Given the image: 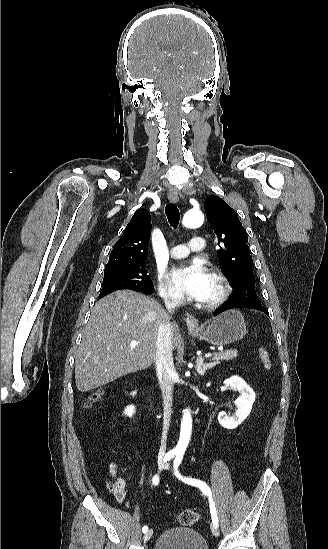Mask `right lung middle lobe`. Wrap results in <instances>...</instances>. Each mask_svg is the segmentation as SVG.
Listing matches in <instances>:
<instances>
[{
	"instance_id": "1",
	"label": "right lung middle lobe",
	"mask_w": 328,
	"mask_h": 549,
	"mask_svg": "<svg viewBox=\"0 0 328 549\" xmlns=\"http://www.w3.org/2000/svg\"><path fill=\"white\" fill-rule=\"evenodd\" d=\"M153 282L148 275L145 262L136 263L104 272L100 297L121 289H129L144 294L153 291Z\"/></svg>"
}]
</instances>
